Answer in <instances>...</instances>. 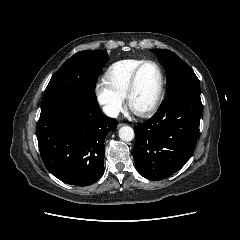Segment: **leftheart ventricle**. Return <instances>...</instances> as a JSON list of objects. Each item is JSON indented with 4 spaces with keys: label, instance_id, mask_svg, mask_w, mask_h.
Listing matches in <instances>:
<instances>
[{
    "label": "left heart ventricle",
    "instance_id": "left-heart-ventricle-1",
    "mask_svg": "<svg viewBox=\"0 0 240 240\" xmlns=\"http://www.w3.org/2000/svg\"><path fill=\"white\" fill-rule=\"evenodd\" d=\"M159 73L152 64L145 65L139 73L135 92L132 96V106L136 110L147 108L153 101L158 86Z\"/></svg>",
    "mask_w": 240,
    "mask_h": 240
}]
</instances>
